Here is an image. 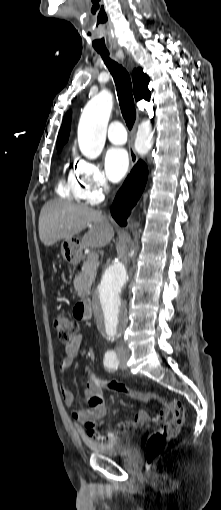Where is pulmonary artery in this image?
<instances>
[{"label": "pulmonary artery", "instance_id": "1", "mask_svg": "<svg viewBox=\"0 0 221 510\" xmlns=\"http://www.w3.org/2000/svg\"><path fill=\"white\" fill-rule=\"evenodd\" d=\"M108 139L111 143L121 145L127 141V133L124 125L119 121H114L108 129Z\"/></svg>", "mask_w": 221, "mask_h": 510}]
</instances>
